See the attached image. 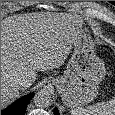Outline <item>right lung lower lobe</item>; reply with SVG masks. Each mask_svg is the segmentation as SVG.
<instances>
[{
    "label": "right lung lower lobe",
    "mask_w": 115,
    "mask_h": 115,
    "mask_svg": "<svg viewBox=\"0 0 115 115\" xmlns=\"http://www.w3.org/2000/svg\"><path fill=\"white\" fill-rule=\"evenodd\" d=\"M33 96L34 93L21 97L8 108L1 111V115H24L26 106Z\"/></svg>",
    "instance_id": "98d812e1"
}]
</instances>
